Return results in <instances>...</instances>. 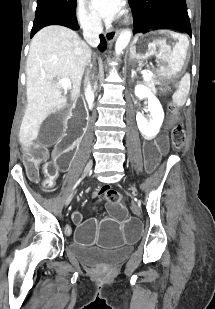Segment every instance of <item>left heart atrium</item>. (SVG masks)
Returning <instances> with one entry per match:
<instances>
[{"label":"left heart atrium","instance_id":"1","mask_svg":"<svg viewBox=\"0 0 215 309\" xmlns=\"http://www.w3.org/2000/svg\"><path fill=\"white\" fill-rule=\"evenodd\" d=\"M89 4L90 7H95L100 18L107 22L120 14L123 0H89Z\"/></svg>","mask_w":215,"mask_h":309}]
</instances>
